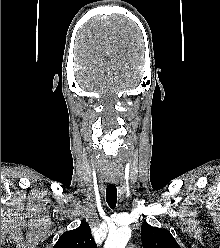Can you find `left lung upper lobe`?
<instances>
[{"mask_svg":"<svg viewBox=\"0 0 220 248\" xmlns=\"http://www.w3.org/2000/svg\"><path fill=\"white\" fill-rule=\"evenodd\" d=\"M141 240L144 248H180L169 231L147 223L141 226Z\"/></svg>","mask_w":220,"mask_h":248,"instance_id":"5c2ea615","label":"left lung upper lobe"}]
</instances>
